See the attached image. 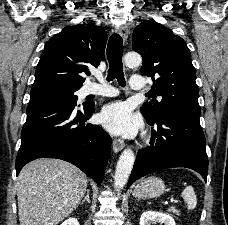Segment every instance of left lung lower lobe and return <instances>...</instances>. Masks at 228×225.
I'll list each match as a JSON object with an SVG mask.
<instances>
[{"label":"left lung lower lobe","mask_w":228,"mask_h":225,"mask_svg":"<svg viewBox=\"0 0 228 225\" xmlns=\"http://www.w3.org/2000/svg\"><path fill=\"white\" fill-rule=\"evenodd\" d=\"M199 117L189 112L166 111L155 120L146 119L157 130L152 132L150 146L138 152L127 187L149 173L173 167L193 169L206 181L208 159Z\"/></svg>","instance_id":"left-lung-lower-lobe-1"}]
</instances>
